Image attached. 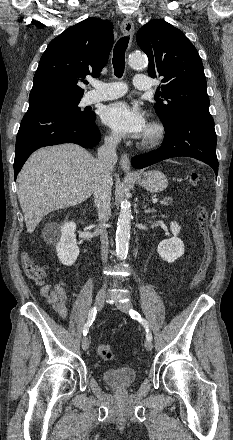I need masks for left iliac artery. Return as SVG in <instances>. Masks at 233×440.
I'll use <instances>...</instances> for the list:
<instances>
[{
    "mask_svg": "<svg viewBox=\"0 0 233 440\" xmlns=\"http://www.w3.org/2000/svg\"><path fill=\"white\" fill-rule=\"evenodd\" d=\"M129 314H130V316L133 318V319H136V320H138L143 326H144V328H145V330H146V338H147V340H152V334H151V332H150V329H149V324H148V322H147V320L146 319H144V318H142L141 317V315L138 313V312H136L135 310H130L129 311Z\"/></svg>",
    "mask_w": 233,
    "mask_h": 440,
    "instance_id": "obj_1",
    "label": "left iliac artery"
}]
</instances>
